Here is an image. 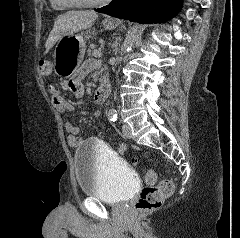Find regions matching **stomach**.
Masks as SVG:
<instances>
[{"instance_id":"stomach-1","label":"stomach","mask_w":240,"mask_h":238,"mask_svg":"<svg viewBox=\"0 0 240 238\" xmlns=\"http://www.w3.org/2000/svg\"><path fill=\"white\" fill-rule=\"evenodd\" d=\"M118 26L117 21L104 22V28L113 30ZM86 50L83 34L62 36L54 50V71L64 78L70 77L81 64Z\"/></svg>"}]
</instances>
